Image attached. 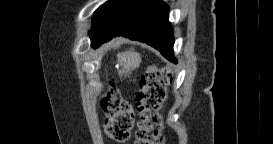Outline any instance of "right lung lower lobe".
<instances>
[{"mask_svg":"<svg viewBox=\"0 0 273 144\" xmlns=\"http://www.w3.org/2000/svg\"><path fill=\"white\" fill-rule=\"evenodd\" d=\"M168 12L169 7L161 0H119L93 29L91 46L97 48L114 36H124L151 45L177 63Z\"/></svg>","mask_w":273,"mask_h":144,"instance_id":"right-lung-lower-lobe-1","label":"right lung lower lobe"}]
</instances>
